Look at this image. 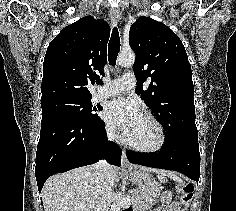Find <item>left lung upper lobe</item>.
<instances>
[{"label":"left lung upper lobe","mask_w":236,"mask_h":211,"mask_svg":"<svg viewBox=\"0 0 236 211\" xmlns=\"http://www.w3.org/2000/svg\"><path fill=\"white\" fill-rule=\"evenodd\" d=\"M129 43L136 53L137 92L162 124L165 138H198L191 65L179 37L163 23L142 16L130 28Z\"/></svg>","instance_id":"obj_1"}]
</instances>
